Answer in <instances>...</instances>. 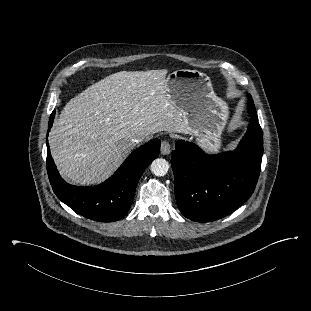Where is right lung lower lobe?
Segmentation results:
<instances>
[{"mask_svg":"<svg viewBox=\"0 0 311 311\" xmlns=\"http://www.w3.org/2000/svg\"><path fill=\"white\" fill-rule=\"evenodd\" d=\"M52 112L48 132L52 126ZM48 136V135H47ZM159 139L133 151L119 169L104 183L93 187H77L66 183L59 175L47 141V172L56 196L76 213L100 222H113L128 212L137 183L145 169L160 153Z\"/></svg>","mask_w":311,"mask_h":311,"instance_id":"right-lung-lower-lobe-1","label":"right lung lower lobe"}]
</instances>
